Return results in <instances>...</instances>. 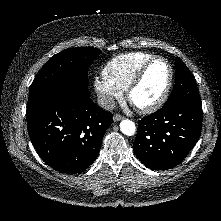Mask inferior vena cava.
<instances>
[{
  "label": "inferior vena cava",
  "mask_w": 221,
  "mask_h": 221,
  "mask_svg": "<svg viewBox=\"0 0 221 221\" xmlns=\"http://www.w3.org/2000/svg\"><path fill=\"white\" fill-rule=\"evenodd\" d=\"M97 103L99 107L106 111L114 110L116 107L115 99L107 94H100L97 98Z\"/></svg>",
  "instance_id": "obj_1"
}]
</instances>
